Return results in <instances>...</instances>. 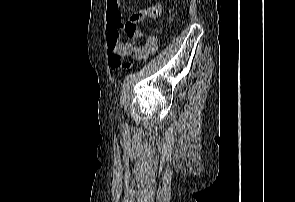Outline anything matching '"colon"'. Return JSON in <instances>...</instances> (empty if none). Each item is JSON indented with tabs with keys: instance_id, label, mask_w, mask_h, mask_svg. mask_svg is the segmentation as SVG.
I'll return each instance as SVG.
<instances>
[{
	"instance_id": "1",
	"label": "colon",
	"mask_w": 295,
	"mask_h": 202,
	"mask_svg": "<svg viewBox=\"0 0 295 202\" xmlns=\"http://www.w3.org/2000/svg\"><path fill=\"white\" fill-rule=\"evenodd\" d=\"M138 32L137 23L132 17L128 18L124 23L110 24L108 30L109 47H118L119 49L123 44H126L123 41L124 37L134 38L138 35Z\"/></svg>"
}]
</instances>
